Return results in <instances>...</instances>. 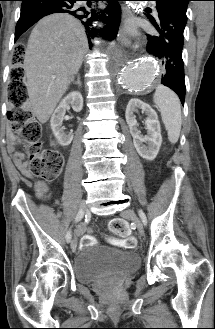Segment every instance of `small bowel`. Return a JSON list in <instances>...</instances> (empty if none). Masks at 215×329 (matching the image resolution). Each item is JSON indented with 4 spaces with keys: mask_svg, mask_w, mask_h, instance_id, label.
<instances>
[{
    "mask_svg": "<svg viewBox=\"0 0 215 329\" xmlns=\"http://www.w3.org/2000/svg\"><path fill=\"white\" fill-rule=\"evenodd\" d=\"M9 150H10V153H11L13 159H14L15 164L20 169V171L24 175L29 176L30 172L28 170V164L23 160V155L21 153L15 151V149H14V140L11 141V143L9 145ZM47 190H48V187H47L46 183L37 182L35 184L36 195L39 198H45ZM85 230H86L85 226H80L78 228L77 232L82 234Z\"/></svg>",
    "mask_w": 215,
    "mask_h": 329,
    "instance_id": "small-bowel-1",
    "label": "small bowel"
}]
</instances>
